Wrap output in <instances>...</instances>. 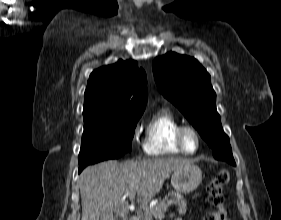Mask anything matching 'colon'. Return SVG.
<instances>
[{
    "instance_id": "colon-1",
    "label": "colon",
    "mask_w": 281,
    "mask_h": 220,
    "mask_svg": "<svg viewBox=\"0 0 281 220\" xmlns=\"http://www.w3.org/2000/svg\"><path fill=\"white\" fill-rule=\"evenodd\" d=\"M230 176L226 169L220 170L207 186L208 201L213 210L209 211L204 220H227L226 209L224 207L225 197L223 188L229 182Z\"/></svg>"
}]
</instances>
